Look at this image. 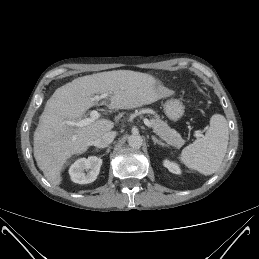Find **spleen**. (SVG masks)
I'll return each instance as SVG.
<instances>
[{"label": "spleen", "instance_id": "spleen-1", "mask_svg": "<svg viewBox=\"0 0 259 259\" xmlns=\"http://www.w3.org/2000/svg\"><path fill=\"white\" fill-rule=\"evenodd\" d=\"M228 140L227 120L221 114H214L205 136L186 146L180 161L203 175H211L218 170L226 155Z\"/></svg>", "mask_w": 259, "mask_h": 259}]
</instances>
